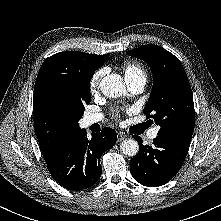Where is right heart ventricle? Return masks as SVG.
Segmentation results:
<instances>
[{
	"label": "right heart ventricle",
	"mask_w": 221,
	"mask_h": 221,
	"mask_svg": "<svg viewBox=\"0 0 221 221\" xmlns=\"http://www.w3.org/2000/svg\"><path fill=\"white\" fill-rule=\"evenodd\" d=\"M122 70L127 80L143 79L147 80V70L138 60L131 59L123 63Z\"/></svg>",
	"instance_id": "e07e8e85"
}]
</instances>
